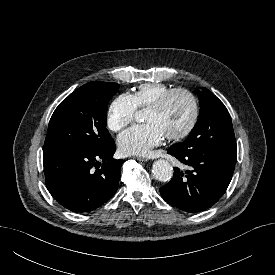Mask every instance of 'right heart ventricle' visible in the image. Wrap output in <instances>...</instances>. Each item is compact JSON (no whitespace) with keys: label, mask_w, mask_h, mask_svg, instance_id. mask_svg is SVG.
<instances>
[{"label":"right heart ventricle","mask_w":275,"mask_h":275,"mask_svg":"<svg viewBox=\"0 0 275 275\" xmlns=\"http://www.w3.org/2000/svg\"><path fill=\"white\" fill-rule=\"evenodd\" d=\"M171 88L163 83H144L139 85L131 94L137 108H149L164 93Z\"/></svg>","instance_id":"obj_1"}]
</instances>
